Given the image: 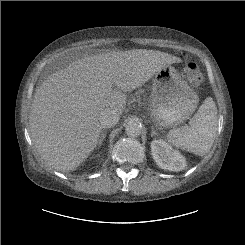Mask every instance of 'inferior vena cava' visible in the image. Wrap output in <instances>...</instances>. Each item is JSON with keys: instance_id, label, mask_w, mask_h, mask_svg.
Here are the masks:
<instances>
[{"instance_id": "602c4592", "label": "inferior vena cava", "mask_w": 245, "mask_h": 245, "mask_svg": "<svg viewBox=\"0 0 245 245\" xmlns=\"http://www.w3.org/2000/svg\"><path fill=\"white\" fill-rule=\"evenodd\" d=\"M120 115L112 109L106 108L100 112L99 120L102 127H114L119 121Z\"/></svg>"}]
</instances>
